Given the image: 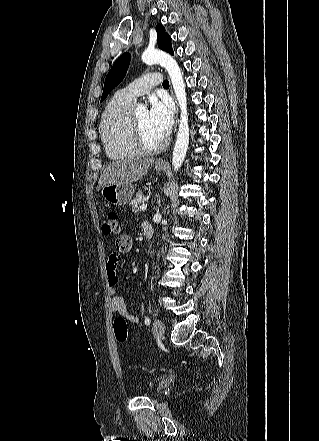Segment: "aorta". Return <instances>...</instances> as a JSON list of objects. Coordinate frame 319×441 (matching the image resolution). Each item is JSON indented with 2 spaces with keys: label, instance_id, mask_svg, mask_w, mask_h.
<instances>
[{
  "label": "aorta",
  "instance_id": "762f6f07",
  "mask_svg": "<svg viewBox=\"0 0 319 441\" xmlns=\"http://www.w3.org/2000/svg\"><path fill=\"white\" fill-rule=\"evenodd\" d=\"M142 61L148 65L160 64L167 70L180 106V124L172 157V166L177 172L182 166L189 144L187 99L182 72L176 60L162 50L146 49L142 54ZM141 109H144V106Z\"/></svg>",
  "mask_w": 319,
  "mask_h": 441
}]
</instances>
